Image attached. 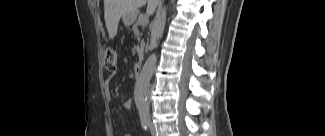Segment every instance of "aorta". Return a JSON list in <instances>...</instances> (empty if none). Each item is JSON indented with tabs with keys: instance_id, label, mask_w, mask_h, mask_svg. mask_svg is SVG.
<instances>
[{
	"instance_id": "obj_1",
	"label": "aorta",
	"mask_w": 325,
	"mask_h": 136,
	"mask_svg": "<svg viewBox=\"0 0 325 136\" xmlns=\"http://www.w3.org/2000/svg\"><path fill=\"white\" fill-rule=\"evenodd\" d=\"M167 10L166 7H161L156 15L151 35L152 48L158 47L159 41L163 36L164 28L166 24ZM157 57L155 53H152L146 60L140 75L138 76L134 87V100L137 109L140 112H147L149 105L147 101L148 86L156 67Z\"/></svg>"
}]
</instances>
